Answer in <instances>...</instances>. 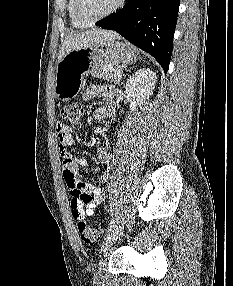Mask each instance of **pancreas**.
Listing matches in <instances>:
<instances>
[{"mask_svg":"<svg viewBox=\"0 0 233 286\" xmlns=\"http://www.w3.org/2000/svg\"><path fill=\"white\" fill-rule=\"evenodd\" d=\"M117 72H121V67L118 65H103L100 68L95 69L91 72L92 76L96 78H103L107 81L118 84L120 78L116 76Z\"/></svg>","mask_w":233,"mask_h":286,"instance_id":"1","label":"pancreas"}]
</instances>
